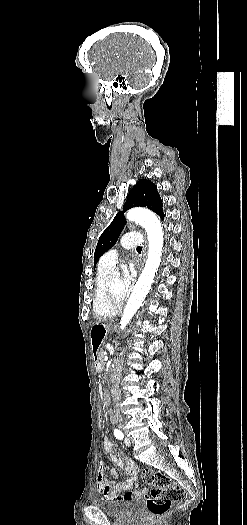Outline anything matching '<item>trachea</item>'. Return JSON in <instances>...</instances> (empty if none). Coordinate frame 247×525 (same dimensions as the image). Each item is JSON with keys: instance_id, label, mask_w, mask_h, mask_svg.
<instances>
[{"instance_id": "1", "label": "trachea", "mask_w": 247, "mask_h": 525, "mask_svg": "<svg viewBox=\"0 0 247 525\" xmlns=\"http://www.w3.org/2000/svg\"><path fill=\"white\" fill-rule=\"evenodd\" d=\"M143 247H137V249H142Z\"/></svg>"}]
</instances>
